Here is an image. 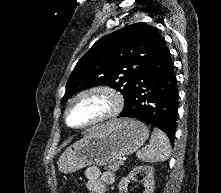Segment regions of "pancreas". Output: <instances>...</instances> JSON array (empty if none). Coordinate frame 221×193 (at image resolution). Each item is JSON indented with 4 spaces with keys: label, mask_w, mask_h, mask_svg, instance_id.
Returning <instances> with one entry per match:
<instances>
[{
    "label": "pancreas",
    "mask_w": 221,
    "mask_h": 193,
    "mask_svg": "<svg viewBox=\"0 0 221 193\" xmlns=\"http://www.w3.org/2000/svg\"><path fill=\"white\" fill-rule=\"evenodd\" d=\"M122 163L120 161H115L113 164H109L105 169L112 172H116Z\"/></svg>",
    "instance_id": "cf45deb5"
}]
</instances>
